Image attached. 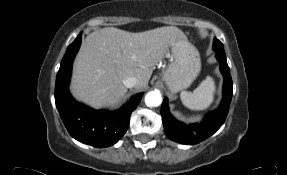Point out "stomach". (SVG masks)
Instances as JSON below:
<instances>
[{
  "instance_id": "1",
  "label": "stomach",
  "mask_w": 287,
  "mask_h": 175,
  "mask_svg": "<svg viewBox=\"0 0 287 175\" xmlns=\"http://www.w3.org/2000/svg\"><path fill=\"white\" fill-rule=\"evenodd\" d=\"M170 64L162 73V81L170 92L188 88L201 69L198 50L187 40L179 39L170 46Z\"/></svg>"
}]
</instances>
